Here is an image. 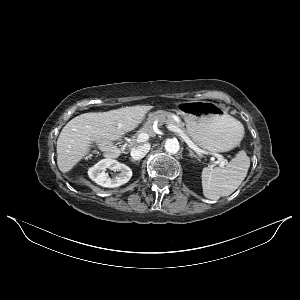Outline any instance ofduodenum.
<instances>
[{
	"mask_svg": "<svg viewBox=\"0 0 300 300\" xmlns=\"http://www.w3.org/2000/svg\"><path fill=\"white\" fill-rule=\"evenodd\" d=\"M108 157L116 159L119 158L121 155V149L119 148H112L107 153Z\"/></svg>",
	"mask_w": 300,
	"mask_h": 300,
	"instance_id": "obj_1",
	"label": "duodenum"
}]
</instances>
